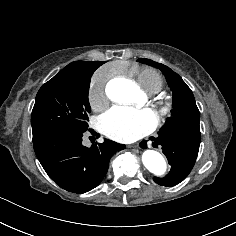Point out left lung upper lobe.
I'll return each instance as SVG.
<instances>
[{"instance_id": "left-lung-upper-lobe-1", "label": "left lung upper lobe", "mask_w": 236, "mask_h": 236, "mask_svg": "<svg viewBox=\"0 0 236 236\" xmlns=\"http://www.w3.org/2000/svg\"><path fill=\"white\" fill-rule=\"evenodd\" d=\"M138 61L159 68L165 75L168 85L173 92V109L171 111V117L167 119L165 125L158 134L169 128L200 132V113L192 91L182 78L163 64L146 58H140Z\"/></svg>"}]
</instances>
